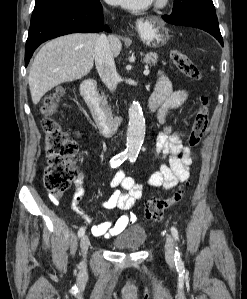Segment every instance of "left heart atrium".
<instances>
[{"mask_svg": "<svg viewBox=\"0 0 247 299\" xmlns=\"http://www.w3.org/2000/svg\"><path fill=\"white\" fill-rule=\"evenodd\" d=\"M110 4L120 5L128 9H142L147 7L153 0H106Z\"/></svg>", "mask_w": 247, "mask_h": 299, "instance_id": "obj_1", "label": "left heart atrium"}]
</instances>
